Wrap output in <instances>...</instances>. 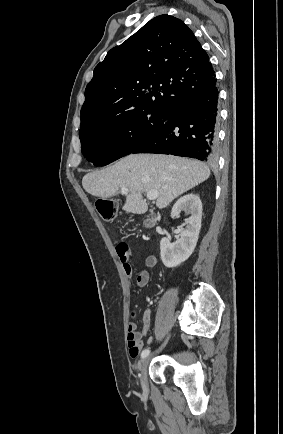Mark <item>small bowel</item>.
I'll use <instances>...</instances> for the list:
<instances>
[{"mask_svg":"<svg viewBox=\"0 0 283 434\" xmlns=\"http://www.w3.org/2000/svg\"><path fill=\"white\" fill-rule=\"evenodd\" d=\"M116 252L119 259L122 262L123 270L128 278L133 275V266L130 262L131 251L129 246L124 242H117ZM157 265V258L154 255H149L145 259V266L147 268H154ZM149 272L147 270H142L136 278V286L139 288L145 287L149 282ZM151 326V312L147 310L144 312L142 317V328L138 330L137 324L135 322H130L128 325L127 334V344L129 349V355L132 358L138 357L141 352L142 337H147L149 335V330Z\"/></svg>","mask_w":283,"mask_h":434,"instance_id":"c3829d8e","label":"small bowel"}]
</instances>
